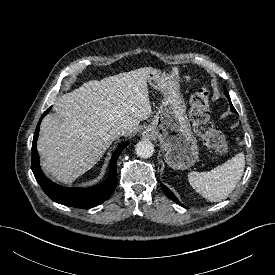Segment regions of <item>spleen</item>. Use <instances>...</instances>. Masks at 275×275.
<instances>
[{
  "instance_id": "spleen-1",
  "label": "spleen",
  "mask_w": 275,
  "mask_h": 275,
  "mask_svg": "<svg viewBox=\"0 0 275 275\" xmlns=\"http://www.w3.org/2000/svg\"><path fill=\"white\" fill-rule=\"evenodd\" d=\"M245 156L239 152L224 164L209 172H190L188 180L197 193L211 202L225 199L243 175Z\"/></svg>"
}]
</instances>
